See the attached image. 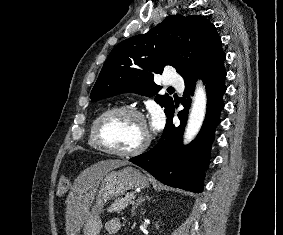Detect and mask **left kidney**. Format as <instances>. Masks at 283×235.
<instances>
[{
    "mask_svg": "<svg viewBox=\"0 0 283 235\" xmlns=\"http://www.w3.org/2000/svg\"><path fill=\"white\" fill-rule=\"evenodd\" d=\"M155 226H156V229H158V228H159V226H158V224H157V223H156V225H155Z\"/></svg>",
    "mask_w": 283,
    "mask_h": 235,
    "instance_id": "obj_1",
    "label": "left kidney"
}]
</instances>
